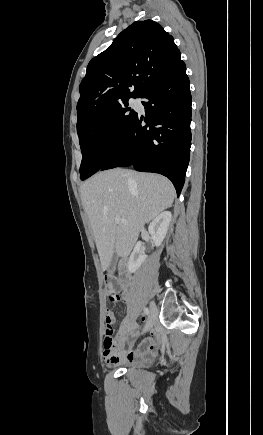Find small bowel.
Segmentation results:
<instances>
[{"instance_id": "1", "label": "small bowel", "mask_w": 263, "mask_h": 435, "mask_svg": "<svg viewBox=\"0 0 263 435\" xmlns=\"http://www.w3.org/2000/svg\"><path fill=\"white\" fill-rule=\"evenodd\" d=\"M125 302V300H122ZM107 317L110 318L112 324L115 321L112 312L107 311L105 315V320ZM136 330V323L130 317H126L122 320L119 329L114 337L115 348L114 350L103 351V357L105 361L109 364H122L126 362H134L138 360H143L151 357L157 346L158 337L156 333H151L144 337L136 346L135 349L132 348L130 342V335H132Z\"/></svg>"}]
</instances>
